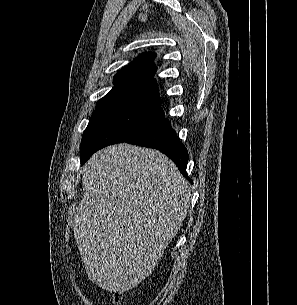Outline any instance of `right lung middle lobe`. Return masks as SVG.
Listing matches in <instances>:
<instances>
[{
    "label": "right lung middle lobe",
    "instance_id": "dd1d6c3e",
    "mask_svg": "<svg viewBox=\"0 0 297 305\" xmlns=\"http://www.w3.org/2000/svg\"><path fill=\"white\" fill-rule=\"evenodd\" d=\"M161 103L121 98L97 104L81 142V165L97 150L124 142L155 125L165 115Z\"/></svg>",
    "mask_w": 297,
    "mask_h": 305
}]
</instances>
